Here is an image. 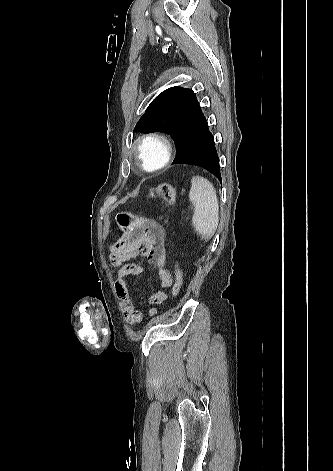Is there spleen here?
<instances>
[{
	"label": "spleen",
	"mask_w": 333,
	"mask_h": 471,
	"mask_svg": "<svg viewBox=\"0 0 333 471\" xmlns=\"http://www.w3.org/2000/svg\"><path fill=\"white\" fill-rule=\"evenodd\" d=\"M189 199L195 205L192 218L196 232L205 239H210L219 223V205L213 185L201 176L191 179Z\"/></svg>",
	"instance_id": "3e777b00"
}]
</instances>
